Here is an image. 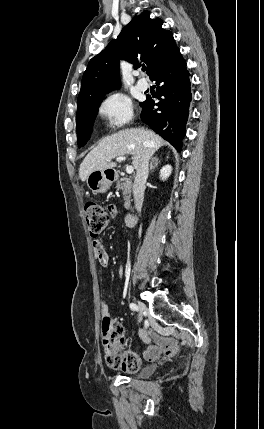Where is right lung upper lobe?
Listing matches in <instances>:
<instances>
[{
	"instance_id": "right-lung-upper-lobe-1",
	"label": "right lung upper lobe",
	"mask_w": 264,
	"mask_h": 429,
	"mask_svg": "<svg viewBox=\"0 0 264 429\" xmlns=\"http://www.w3.org/2000/svg\"><path fill=\"white\" fill-rule=\"evenodd\" d=\"M161 19H151L144 11L135 16L105 50L93 57L84 72L77 107L104 96L118 88L119 60L124 59L140 66L139 60L148 67L152 74L163 64L178 47L172 32L162 28Z\"/></svg>"
}]
</instances>
